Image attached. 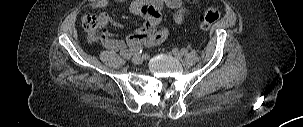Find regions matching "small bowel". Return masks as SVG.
Segmentation results:
<instances>
[{
  "mask_svg": "<svg viewBox=\"0 0 303 127\" xmlns=\"http://www.w3.org/2000/svg\"><path fill=\"white\" fill-rule=\"evenodd\" d=\"M127 0H95L91 5V10L103 9L111 2L123 3ZM172 9L174 13V21L178 25H183L186 20V8L182 0H133L130 5L132 13L142 16L144 23L139 30L130 34L127 39L119 40L113 39L108 35L102 38V45L111 50L125 51L128 47H151L159 45L164 42L168 36L166 29H158L161 22L162 11L165 9ZM98 22L101 27L107 25H118L112 21L110 16L106 13H101L98 17Z\"/></svg>",
  "mask_w": 303,
  "mask_h": 127,
  "instance_id": "c3829d8e",
  "label": "small bowel"
}]
</instances>
